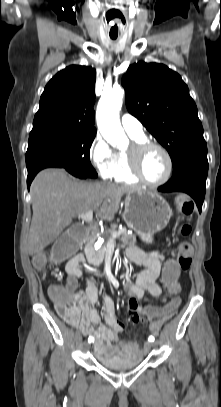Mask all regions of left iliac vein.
I'll return each mask as SVG.
<instances>
[{
    "mask_svg": "<svg viewBox=\"0 0 221 407\" xmlns=\"http://www.w3.org/2000/svg\"><path fill=\"white\" fill-rule=\"evenodd\" d=\"M152 346H153V347H157V346H158V342H157V341H153V342H152Z\"/></svg>",
    "mask_w": 221,
    "mask_h": 407,
    "instance_id": "4c4485c4",
    "label": "left iliac vein"
}]
</instances>
